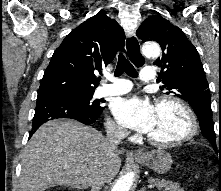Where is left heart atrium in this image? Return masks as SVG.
<instances>
[{"mask_svg": "<svg viewBox=\"0 0 221 191\" xmlns=\"http://www.w3.org/2000/svg\"><path fill=\"white\" fill-rule=\"evenodd\" d=\"M112 110L122 125L146 134L151 130L156 117V107L137 95L117 99Z\"/></svg>", "mask_w": 221, "mask_h": 191, "instance_id": "1", "label": "left heart atrium"}]
</instances>
